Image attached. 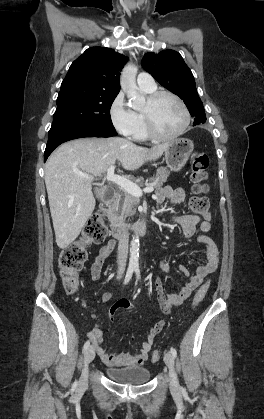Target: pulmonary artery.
<instances>
[{"label":"pulmonary artery","mask_w":264,"mask_h":419,"mask_svg":"<svg viewBox=\"0 0 264 419\" xmlns=\"http://www.w3.org/2000/svg\"><path fill=\"white\" fill-rule=\"evenodd\" d=\"M137 84L142 89H154L156 87L153 77L146 72H142L137 77Z\"/></svg>","instance_id":"pulmonary-artery-1"}]
</instances>
